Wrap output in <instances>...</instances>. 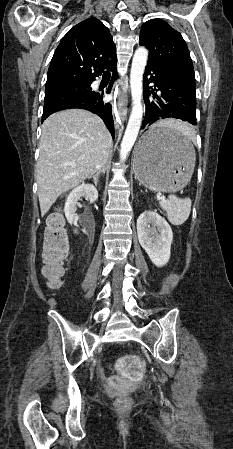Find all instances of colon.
I'll list each match as a JSON object with an SVG mask.
<instances>
[{"label":"colon","mask_w":233,"mask_h":449,"mask_svg":"<svg viewBox=\"0 0 233 449\" xmlns=\"http://www.w3.org/2000/svg\"><path fill=\"white\" fill-rule=\"evenodd\" d=\"M68 237L64 230L63 216L55 212L49 216L43 241L44 274L56 287L62 278V265L67 257ZM117 407H124L126 400H117Z\"/></svg>","instance_id":"1"}]
</instances>
